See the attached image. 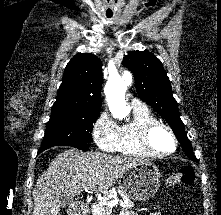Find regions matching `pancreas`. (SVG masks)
<instances>
[{
    "label": "pancreas",
    "instance_id": "obj_1",
    "mask_svg": "<svg viewBox=\"0 0 221 215\" xmlns=\"http://www.w3.org/2000/svg\"><path fill=\"white\" fill-rule=\"evenodd\" d=\"M118 194L122 196L123 201H120V206L125 209L134 208V203L128 199V197L121 191L118 190ZM116 198V195L113 192H107L102 197V200L97 202L92 209V215H109L108 212L110 208L106 206L105 203L109 202L111 199Z\"/></svg>",
    "mask_w": 221,
    "mask_h": 215
}]
</instances>
